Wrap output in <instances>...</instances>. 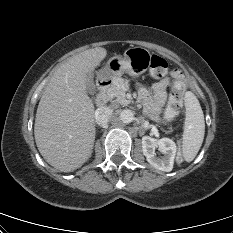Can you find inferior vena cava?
Masks as SVG:
<instances>
[{
	"instance_id": "602c4592",
	"label": "inferior vena cava",
	"mask_w": 233,
	"mask_h": 233,
	"mask_svg": "<svg viewBox=\"0 0 233 233\" xmlns=\"http://www.w3.org/2000/svg\"><path fill=\"white\" fill-rule=\"evenodd\" d=\"M113 110L109 107H100L95 111V121L98 125H106L111 117H112Z\"/></svg>"
}]
</instances>
